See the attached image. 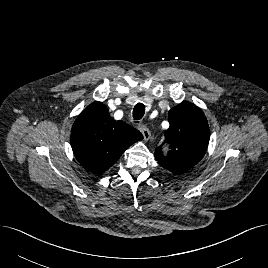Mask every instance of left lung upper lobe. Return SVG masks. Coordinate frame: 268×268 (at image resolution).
I'll return each instance as SVG.
<instances>
[{
  "instance_id": "obj_1",
  "label": "left lung upper lobe",
  "mask_w": 268,
  "mask_h": 268,
  "mask_svg": "<svg viewBox=\"0 0 268 268\" xmlns=\"http://www.w3.org/2000/svg\"><path fill=\"white\" fill-rule=\"evenodd\" d=\"M170 127L165 132V142L170 144L166 156L162 147L155 151L159 164L175 173H182L194 167L206 153L210 131L207 119L196 105L183 101L168 114Z\"/></svg>"
}]
</instances>
